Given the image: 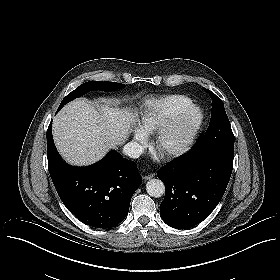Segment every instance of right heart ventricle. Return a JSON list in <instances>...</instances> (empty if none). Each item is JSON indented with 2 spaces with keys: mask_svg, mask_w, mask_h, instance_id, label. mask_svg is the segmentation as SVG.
I'll use <instances>...</instances> for the list:
<instances>
[{
  "mask_svg": "<svg viewBox=\"0 0 280 280\" xmlns=\"http://www.w3.org/2000/svg\"><path fill=\"white\" fill-rule=\"evenodd\" d=\"M190 98L183 94H174L164 99V111L166 117L170 118L178 111L186 108L190 104ZM145 126H150L152 130H159L164 123L158 121L146 119L144 121Z\"/></svg>",
  "mask_w": 280,
  "mask_h": 280,
  "instance_id": "1",
  "label": "right heart ventricle"
}]
</instances>
